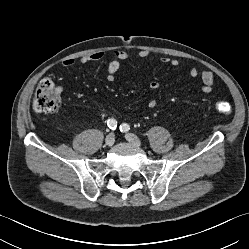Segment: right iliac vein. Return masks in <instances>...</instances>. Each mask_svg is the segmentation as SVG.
<instances>
[{
	"instance_id": "1",
	"label": "right iliac vein",
	"mask_w": 249,
	"mask_h": 249,
	"mask_svg": "<svg viewBox=\"0 0 249 249\" xmlns=\"http://www.w3.org/2000/svg\"><path fill=\"white\" fill-rule=\"evenodd\" d=\"M114 142H115V134L114 133L108 134L105 138L106 146L110 147L114 144Z\"/></svg>"
}]
</instances>
